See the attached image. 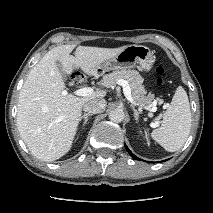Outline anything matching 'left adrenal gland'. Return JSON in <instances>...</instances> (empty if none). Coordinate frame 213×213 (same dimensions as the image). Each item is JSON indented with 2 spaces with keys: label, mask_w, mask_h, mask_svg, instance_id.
<instances>
[{
  "label": "left adrenal gland",
  "mask_w": 213,
  "mask_h": 213,
  "mask_svg": "<svg viewBox=\"0 0 213 213\" xmlns=\"http://www.w3.org/2000/svg\"><path fill=\"white\" fill-rule=\"evenodd\" d=\"M131 108H132V110L134 112V118H135L136 122L138 123L139 115L142 114V111L141 110H136L133 105H131Z\"/></svg>",
  "instance_id": "obj_1"
}]
</instances>
